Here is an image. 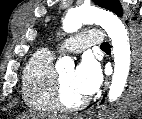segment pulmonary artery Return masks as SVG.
<instances>
[{
	"mask_svg": "<svg viewBox=\"0 0 142 119\" xmlns=\"http://www.w3.org/2000/svg\"><path fill=\"white\" fill-rule=\"evenodd\" d=\"M104 43L103 34L100 29L92 28L84 33L70 37L62 41L58 46L64 52L79 53L85 48Z\"/></svg>",
	"mask_w": 142,
	"mask_h": 119,
	"instance_id": "pulmonary-artery-1",
	"label": "pulmonary artery"
}]
</instances>
